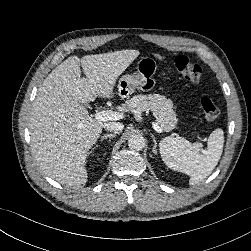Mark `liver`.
I'll list each match as a JSON object with an SVG mask.
<instances>
[{"instance_id": "1", "label": "liver", "mask_w": 251, "mask_h": 251, "mask_svg": "<svg viewBox=\"0 0 251 251\" xmlns=\"http://www.w3.org/2000/svg\"><path fill=\"white\" fill-rule=\"evenodd\" d=\"M139 54L138 50H121L81 59L71 56L45 78L29 127L32 153L47 176L71 187L86 184L88 152L104 123L91 118L82 104L97 96L112 98L116 79ZM80 65L86 78L81 77Z\"/></svg>"}]
</instances>
